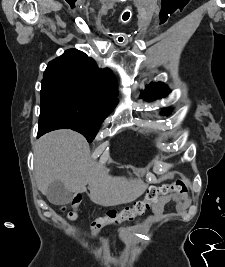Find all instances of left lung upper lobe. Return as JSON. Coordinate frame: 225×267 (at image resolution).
Wrapping results in <instances>:
<instances>
[{
	"instance_id": "obj_1",
	"label": "left lung upper lobe",
	"mask_w": 225,
	"mask_h": 267,
	"mask_svg": "<svg viewBox=\"0 0 225 267\" xmlns=\"http://www.w3.org/2000/svg\"><path fill=\"white\" fill-rule=\"evenodd\" d=\"M169 89L162 82L150 83L146 86L145 91L140 95L141 98L146 99L147 101H152L154 99L162 98L168 95ZM170 108L165 109L162 113L168 114Z\"/></svg>"
}]
</instances>
